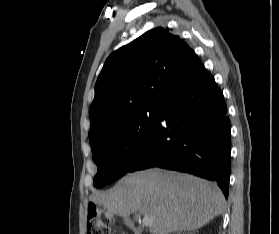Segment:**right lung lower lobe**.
<instances>
[{"instance_id":"right-lung-lower-lobe-1","label":"right lung lower lobe","mask_w":279,"mask_h":234,"mask_svg":"<svg viewBox=\"0 0 279 234\" xmlns=\"http://www.w3.org/2000/svg\"><path fill=\"white\" fill-rule=\"evenodd\" d=\"M230 122L221 90L202 65L160 108L148 144L129 172L161 167L216 181L228 197Z\"/></svg>"}]
</instances>
